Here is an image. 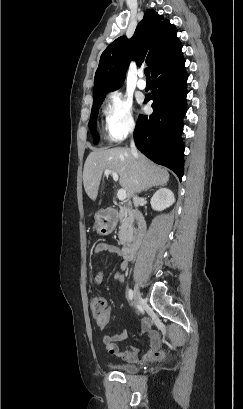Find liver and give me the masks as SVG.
<instances>
[{
    "label": "liver",
    "mask_w": 243,
    "mask_h": 409,
    "mask_svg": "<svg viewBox=\"0 0 243 409\" xmlns=\"http://www.w3.org/2000/svg\"><path fill=\"white\" fill-rule=\"evenodd\" d=\"M106 169L115 171L128 200L150 186H162L169 181L167 169L162 168L143 154H132L129 148L116 147L92 151L84 164L83 183L87 195L95 201Z\"/></svg>",
    "instance_id": "obj_1"
}]
</instances>
